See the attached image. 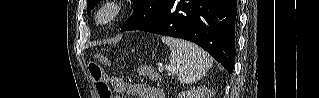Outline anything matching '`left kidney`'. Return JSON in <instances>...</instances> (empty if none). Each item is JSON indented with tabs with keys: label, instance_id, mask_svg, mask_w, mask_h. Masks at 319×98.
Here are the masks:
<instances>
[{
	"label": "left kidney",
	"instance_id": "obj_1",
	"mask_svg": "<svg viewBox=\"0 0 319 98\" xmlns=\"http://www.w3.org/2000/svg\"><path fill=\"white\" fill-rule=\"evenodd\" d=\"M178 98H211V91L206 86H199L180 92Z\"/></svg>",
	"mask_w": 319,
	"mask_h": 98
}]
</instances>
